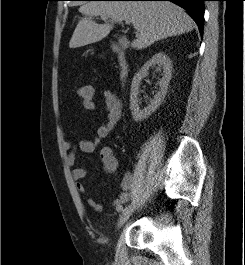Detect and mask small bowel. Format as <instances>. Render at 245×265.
<instances>
[{
    "mask_svg": "<svg viewBox=\"0 0 245 265\" xmlns=\"http://www.w3.org/2000/svg\"><path fill=\"white\" fill-rule=\"evenodd\" d=\"M106 121L97 129L93 139H82L78 144L71 141H65L63 148L67 153V163L74 166L76 162L77 150L85 153H91L96 146L106 139L114 130L122 117V101L116 93L111 90L104 91ZM83 107L87 111H95L96 104L94 101L83 103ZM101 161L107 173L114 172L118 167V161L113 153L112 148L104 147L100 151ZM87 176V170L84 167H75L72 170V177L76 181V189L81 194H86V188L81 182ZM121 192L113 201V206L123 205L129 201L131 192L134 187V176L130 172H126L120 184ZM87 204L97 213L103 211V206L93 198H87Z\"/></svg>",
    "mask_w": 245,
    "mask_h": 265,
    "instance_id": "obj_1",
    "label": "small bowel"
}]
</instances>
